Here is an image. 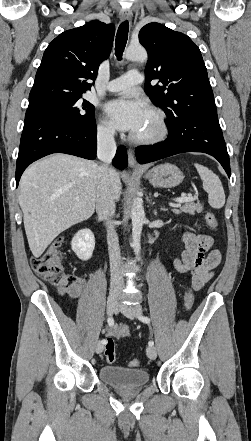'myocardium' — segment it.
I'll use <instances>...</instances> for the list:
<instances>
[{
    "instance_id": "myocardium-1",
    "label": "myocardium",
    "mask_w": 251,
    "mask_h": 441,
    "mask_svg": "<svg viewBox=\"0 0 251 441\" xmlns=\"http://www.w3.org/2000/svg\"><path fill=\"white\" fill-rule=\"evenodd\" d=\"M147 110L155 116L158 130L154 135L148 137H138L132 134L130 136L131 141L139 145H154L160 143L164 141L169 134V126L164 111L154 106L149 107Z\"/></svg>"
}]
</instances>
